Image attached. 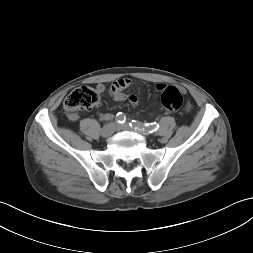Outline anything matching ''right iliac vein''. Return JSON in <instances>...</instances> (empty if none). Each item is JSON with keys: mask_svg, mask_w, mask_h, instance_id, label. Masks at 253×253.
I'll return each mask as SVG.
<instances>
[{"mask_svg": "<svg viewBox=\"0 0 253 253\" xmlns=\"http://www.w3.org/2000/svg\"><path fill=\"white\" fill-rule=\"evenodd\" d=\"M116 128L117 125L115 123H109L102 128L101 135L108 138L115 132Z\"/></svg>", "mask_w": 253, "mask_h": 253, "instance_id": "63e3f726", "label": "right iliac vein"}]
</instances>
